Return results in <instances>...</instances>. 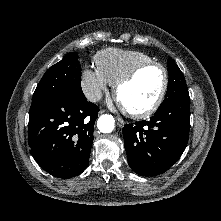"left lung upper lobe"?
<instances>
[{"instance_id": "left-lung-upper-lobe-1", "label": "left lung upper lobe", "mask_w": 221, "mask_h": 221, "mask_svg": "<svg viewBox=\"0 0 221 221\" xmlns=\"http://www.w3.org/2000/svg\"><path fill=\"white\" fill-rule=\"evenodd\" d=\"M168 74V89L166 92V97L161 105L170 102L175 97L188 94V88L186 85L184 75L171 58L168 59Z\"/></svg>"}]
</instances>
